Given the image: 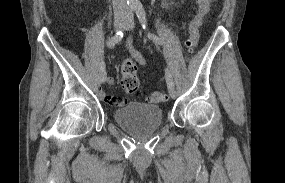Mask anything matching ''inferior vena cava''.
Segmentation results:
<instances>
[{"instance_id": "602c4592", "label": "inferior vena cava", "mask_w": 285, "mask_h": 183, "mask_svg": "<svg viewBox=\"0 0 285 183\" xmlns=\"http://www.w3.org/2000/svg\"><path fill=\"white\" fill-rule=\"evenodd\" d=\"M115 17H127L130 15L126 0H112Z\"/></svg>"}]
</instances>
